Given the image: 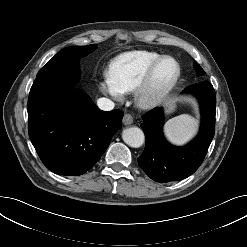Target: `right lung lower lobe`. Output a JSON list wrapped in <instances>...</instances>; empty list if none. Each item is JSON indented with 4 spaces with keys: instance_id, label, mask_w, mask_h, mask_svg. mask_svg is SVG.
<instances>
[{
    "instance_id": "1",
    "label": "right lung lower lobe",
    "mask_w": 247,
    "mask_h": 247,
    "mask_svg": "<svg viewBox=\"0 0 247 247\" xmlns=\"http://www.w3.org/2000/svg\"><path fill=\"white\" fill-rule=\"evenodd\" d=\"M27 109L31 142L43 164L58 175L88 171L122 126L121 110L101 111L72 86L32 87Z\"/></svg>"
}]
</instances>
